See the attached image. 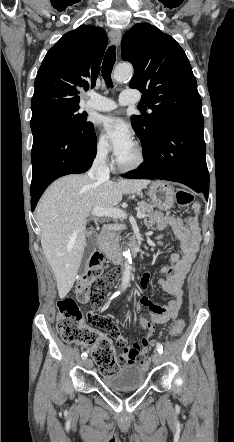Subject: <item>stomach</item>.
<instances>
[{"label": "stomach", "instance_id": "stomach-1", "mask_svg": "<svg viewBox=\"0 0 234 442\" xmlns=\"http://www.w3.org/2000/svg\"><path fill=\"white\" fill-rule=\"evenodd\" d=\"M148 195L152 203L160 210H169L175 202V190L168 183L152 182L148 189Z\"/></svg>", "mask_w": 234, "mask_h": 442}]
</instances>
